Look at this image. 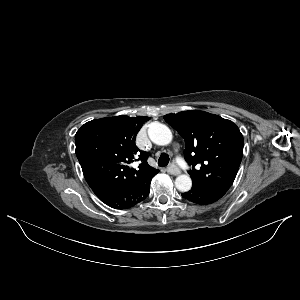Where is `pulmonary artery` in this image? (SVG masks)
<instances>
[{
  "label": "pulmonary artery",
  "mask_w": 300,
  "mask_h": 300,
  "mask_svg": "<svg viewBox=\"0 0 300 300\" xmlns=\"http://www.w3.org/2000/svg\"><path fill=\"white\" fill-rule=\"evenodd\" d=\"M179 164H180L181 166H184V163H183V162H181V161H179Z\"/></svg>",
  "instance_id": "1"
}]
</instances>
